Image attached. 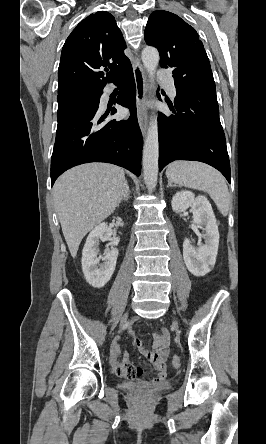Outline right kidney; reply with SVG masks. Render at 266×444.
Here are the masks:
<instances>
[{"label": "right kidney", "instance_id": "ca27d5eb", "mask_svg": "<svg viewBox=\"0 0 266 444\" xmlns=\"http://www.w3.org/2000/svg\"><path fill=\"white\" fill-rule=\"evenodd\" d=\"M112 235V230L107 223L97 225L88 235L82 252V270L86 281L95 288L103 287L112 277L118 250L107 247L103 257H98L99 242L107 241ZM100 259L103 263L100 264Z\"/></svg>", "mask_w": 266, "mask_h": 444}]
</instances>
